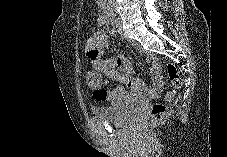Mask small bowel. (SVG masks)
I'll use <instances>...</instances> for the list:
<instances>
[{
  "mask_svg": "<svg viewBox=\"0 0 227 157\" xmlns=\"http://www.w3.org/2000/svg\"><path fill=\"white\" fill-rule=\"evenodd\" d=\"M109 40L103 31H97L86 41L85 49L95 71L106 76L100 91H94V98L112 105H125L135 101L150 100L157 97L161 87V75L156 66L151 70L152 86L146 87L137 78L132 77V65L125 56L107 58ZM107 81H115L120 85L105 89Z\"/></svg>",
  "mask_w": 227,
  "mask_h": 157,
  "instance_id": "1",
  "label": "small bowel"
}]
</instances>
